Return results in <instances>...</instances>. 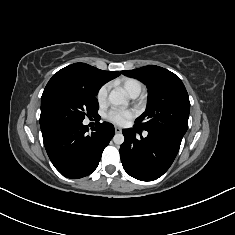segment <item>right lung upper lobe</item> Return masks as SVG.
I'll return each mask as SVG.
<instances>
[{
  "label": "right lung upper lobe",
  "instance_id": "obj_1",
  "mask_svg": "<svg viewBox=\"0 0 235 235\" xmlns=\"http://www.w3.org/2000/svg\"><path fill=\"white\" fill-rule=\"evenodd\" d=\"M56 74L66 75L89 88L99 90L106 82L119 76L120 72L103 71L85 63H75Z\"/></svg>",
  "mask_w": 235,
  "mask_h": 235
}]
</instances>
